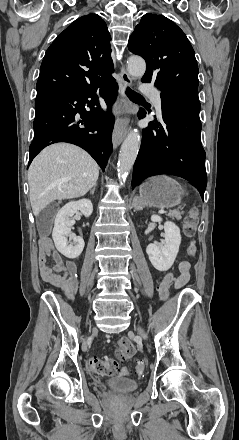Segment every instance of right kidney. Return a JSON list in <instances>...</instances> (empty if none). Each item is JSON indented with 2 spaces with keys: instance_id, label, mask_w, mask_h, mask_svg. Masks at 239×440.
<instances>
[{
  "instance_id": "1",
  "label": "right kidney",
  "mask_w": 239,
  "mask_h": 440,
  "mask_svg": "<svg viewBox=\"0 0 239 440\" xmlns=\"http://www.w3.org/2000/svg\"><path fill=\"white\" fill-rule=\"evenodd\" d=\"M78 210L82 212L85 218H89L93 212L91 200H78V202H68V204H65L55 218L52 232L55 247L58 248L61 256L72 257V260L73 258H78L84 248L83 238L71 234V228L75 224L73 216Z\"/></svg>"
}]
</instances>
